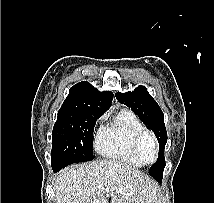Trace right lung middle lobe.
I'll return each instance as SVG.
<instances>
[{
  "label": "right lung middle lobe",
  "instance_id": "dd1d6c3e",
  "mask_svg": "<svg viewBox=\"0 0 214 203\" xmlns=\"http://www.w3.org/2000/svg\"><path fill=\"white\" fill-rule=\"evenodd\" d=\"M103 113L85 107H61L52 132L51 165L60 170L94 159L93 131Z\"/></svg>",
  "mask_w": 214,
  "mask_h": 203
}]
</instances>
